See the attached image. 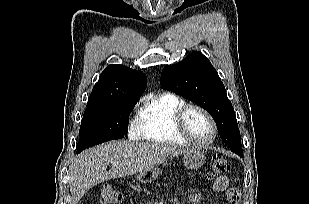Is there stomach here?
I'll use <instances>...</instances> for the list:
<instances>
[{"label":"stomach","instance_id":"obj_1","mask_svg":"<svg viewBox=\"0 0 309 204\" xmlns=\"http://www.w3.org/2000/svg\"><path fill=\"white\" fill-rule=\"evenodd\" d=\"M183 161L184 166L187 169L195 170L203 165L205 161V155L200 149L188 150L186 153H184ZM163 167H159L157 165L149 170L140 172L137 175L138 181L141 183L154 182L162 174Z\"/></svg>","mask_w":309,"mask_h":204}]
</instances>
